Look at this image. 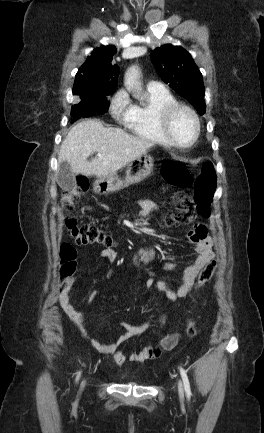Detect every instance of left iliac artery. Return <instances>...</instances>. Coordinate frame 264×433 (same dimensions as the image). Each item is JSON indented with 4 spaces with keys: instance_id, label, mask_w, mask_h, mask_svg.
I'll use <instances>...</instances> for the list:
<instances>
[{
    "instance_id": "1",
    "label": "left iliac artery",
    "mask_w": 264,
    "mask_h": 433,
    "mask_svg": "<svg viewBox=\"0 0 264 433\" xmlns=\"http://www.w3.org/2000/svg\"><path fill=\"white\" fill-rule=\"evenodd\" d=\"M180 374H181V377H182V380H183V384H184L186 395H187L188 398H190V396H191L190 383H189V380H188L187 373H186V371L182 367H180Z\"/></svg>"
}]
</instances>
